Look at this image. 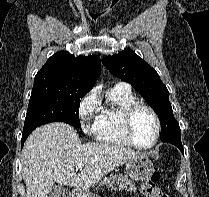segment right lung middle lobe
Segmentation results:
<instances>
[{"label": "right lung middle lobe", "instance_id": "dd1d6c3e", "mask_svg": "<svg viewBox=\"0 0 209 197\" xmlns=\"http://www.w3.org/2000/svg\"><path fill=\"white\" fill-rule=\"evenodd\" d=\"M91 88L78 84L34 82L24 122V131L50 122L81 127L80 98Z\"/></svg>", "mask_w": 209, "mask_h": 197}]
</instances>
